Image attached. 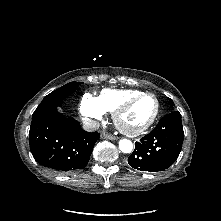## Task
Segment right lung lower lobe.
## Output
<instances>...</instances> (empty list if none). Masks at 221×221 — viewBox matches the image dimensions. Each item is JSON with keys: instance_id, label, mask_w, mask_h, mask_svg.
Wrapping results in <instances>:
<instances>
[{"instance_id": "right-lung-lower-lobe-1", "label": "right lung lower lobe", "mask_w": 221, "mask_h": 221, "mask_svg": "<svg viewBox=\"0 0 221 221\" xmlns=\"http://www.w3.org/2000/svg\"><path fill=\"white\" fill-rule=\"evenodd\" d=\"M61 101L35 110L29 132L30 150L42 166L61 173L83 169L99 139L98 132H86L78 121L56 113Z\"/></svg>"}]
</instances>
